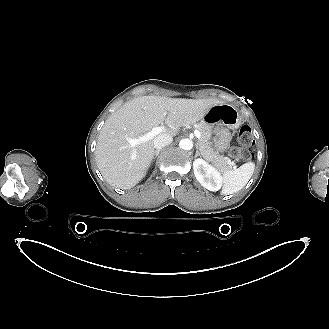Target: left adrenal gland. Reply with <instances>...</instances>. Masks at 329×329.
I'll return each instance as SVG.
<instances>
[{
    "mask_svg": "<svg viewBox=\"0 0 329 329\" xmlns=\"http://www.w3.org/2000/svg\"><path fill=\"white\" fill-rule=\"evenodd\" d=\"M197 156H202V154L198 150V144H196V153H195V157H197Z\"/></svg>",
    "mask_w": 329,
    "mask_h": 329,
    "instance_id": "a2214340",
    "label": "left adrenal gland"
}]
</instances>
